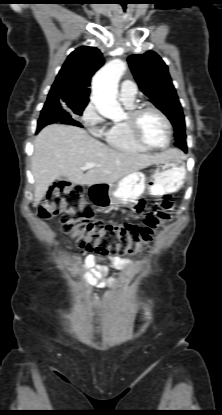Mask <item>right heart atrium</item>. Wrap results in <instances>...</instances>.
<instances>
[{
	"mask_svg": "<svg viewBox=\"0 0 222 415\" xmlns=\"http://www.w3.org/2000/svg\"><path fill=\"white\" fill-rule=\"evenodd\" d=\"M80 121L94 135L101 136L105 131V119L93 102H89L83 109Z\"/></svg>",
	"mask_w": 222,
	"mask_h": 415,
	"instance_id": "d8ad5b80",
	"label": "right heart atrium"
}]
</instances>
